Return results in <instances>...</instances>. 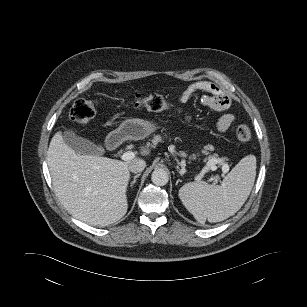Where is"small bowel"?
Returning <instances> with one entry per match:
<instances>
[{
	"instance_id": "obj_1",
	"label": "small bowel",
	"mask_w": 307,
	"mask_h": 307,
	"mask_svg": "<svg viewBox=\"0 0 307 307\" xmlns=\"http://www.w3.org/2000/svg\"><path fill=\"white\" fill-rule=\"evenodd\" d=\"M198 91L205 93L203 103L211 109L223 111L230 106L229 98L223 94L221 89L216 84L204 80L197 81L181 90L177 95V100L180 103H186ZM233 123L234 117L231 114H225L219 119L217 130L224 133L232 127Z\"/></svg>"
}]
</instances>
